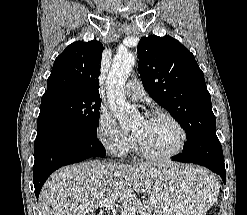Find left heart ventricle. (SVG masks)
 I'll use <instances>...</instances> for the list:
<instances>
[{
	"instance_id": "b2bd125f",
	"label": "left heart ventricle",
	"mask_w": 247,
	"mask_h": 215,
	"mask_svg": "<svg viewBox=\"0 0 247 215\" xmlns=\"http://www.w3.org/2000/svg\"><path fill=\"white\" fill-rule=\"evenodd\" d=\"M132 133L153 153L171 152L180 141L179 131L167 119H141L133 127Z\"/></svg>"
}]
</instances>
